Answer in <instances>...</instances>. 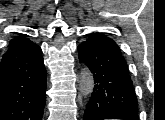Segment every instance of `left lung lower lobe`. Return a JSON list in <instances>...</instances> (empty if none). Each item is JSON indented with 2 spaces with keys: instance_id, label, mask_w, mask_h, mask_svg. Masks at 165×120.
<instances>
[{
  "instance_id": "0a47b994",
  "label": "left lung lower lobe",
  "mask_w": 165,
  "mask_h": 120,
  "mask_svg": "<svg viewBox=\"0 0 165 120\" xmlns=\"http://www.w3.org/2000/svg\"><path fill=\"white\" fill-rule=\"evenodd\" d=\"M80 62L94 74V91L83 120H138V102L128 65L116 42L102 33H90L78 46Z\"/></svg>"
}]
</instances>
